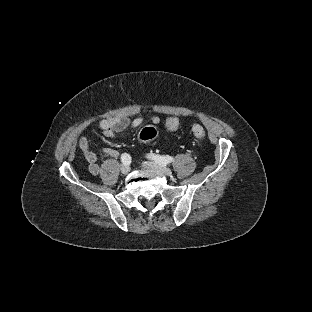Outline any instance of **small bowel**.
Here are the masks:
<instances>
[{
  "instance_id": "c3829d8e",
  "label": "small bowel",
  "mask_w": 312,
  "mask_h": 312,
  "mask_svg": "<svg viewBox=\"0 0 312 312\" xmlns=\"http://www.w3.org/2000/svg\"><path fill=\"white\" fill-rule=\"evenodd\" d=\"M160 118L158 116L152 117V123L157 125L160 123ZM143 119L141 117L134 118L130 120L127 117H111L100 121L99 128L102 134L106 137H115L120 132L124 131L128 127L138 128L142 125ZM78 146L83 153L87 163L88 170L92 175H98L100 173V166L97 161L96 154L90 147V143L87 137L80 138ZM105 155L110 157H116L118 152L110 147H105L103 149Z\"/></svg>"
}]
</instances>
